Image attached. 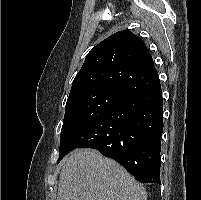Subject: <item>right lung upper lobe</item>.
Listing matches in <instances>:
<instances>
[{
    "instance_id": "1",
    "label": "right lung upper lobe",
    "mask_w": 201,
    "mask_h": 200,
    "mask_svg": "<svg viewBox=\"0 0 201 200\" xmlns=\"http://www.w3.org/2000/svg\"><path fill=\"white\" fill-rule=\"evenodd\" d=\"M158 83V72L145 43L124 30L109 36L87 54L69 96L109 90L130 98Z\"/></svg>"
}]
</instances>
